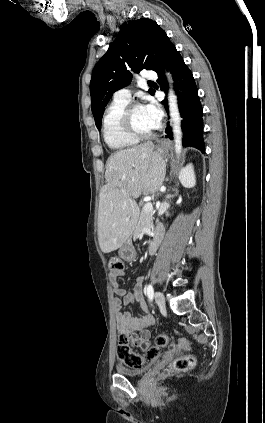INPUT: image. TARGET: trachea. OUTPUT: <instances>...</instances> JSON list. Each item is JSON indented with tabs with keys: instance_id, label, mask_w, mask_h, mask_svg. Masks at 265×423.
I'll list each match as a JSON object with an SVG mask.
<instances>
[{
	"instance_id": "1",
	"label": "trachea",
	"mask_w": 265,
	"mask_h": 423,
	"mask_svg": "<svg viewBox=\"0 0 265 423\" xmlns=\"http://www.w3.org/2000/svg\"><path fill=\"white\" fill-rule=\"evenodd\" d=\"M148 84H154V82H148Z\"/></svg>"
}]
</instances>
